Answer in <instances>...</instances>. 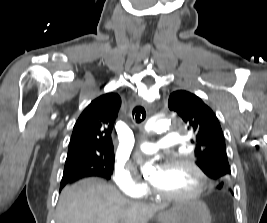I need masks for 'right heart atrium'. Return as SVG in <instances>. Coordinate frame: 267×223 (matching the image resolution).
Instances as JSON below:
<instances>
[{"label": "right heart atrium", "mask_w": 267, "mask_h": 223, "mask_svg": "<svg viewBox=\"0 0 267 223\" xmlns=\"http://www.w3.org/2000/svg\"><path fill=\"white\" fill-rule=\"evenodd\" d=\"M112 178L118 189L129 197L139 198L146 192V185L135 178L131 166L124 162L115 163Z\"/></svg>", "instance_id": "obj_1"}]
</instances>
